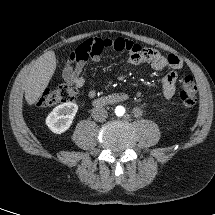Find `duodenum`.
<instances>
[{"label":"duodenum","instance_id":"1","mask_svg":"<svg viewBox=\"0 0 215 215\" xmlns=\"http://www.w3.org/2000/svg\"><path fill=\"white\" fill-rule=\"evenodd\" d=\"M128 99V95L126 93H113L109 94L94 100L95 106H106L111 104H117L124 102Z\"/></svg>","mask_w":215,"mask_h":215}]
</instances>
